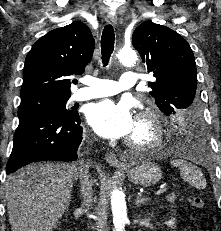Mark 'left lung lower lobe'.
Masks as SVG:
<instances>
[{
    "instance_id": "left-lung-lower-lobe-1",
    "label": "left lung lower lobe",
    "mask_w": 221,
    "mask_h": 231,
    "mask_svg": "<svg viewBox=\"0 0 221 231\" xmlns=\"http://www.w3.org/2000/svg\"><path fill=\"white\" fill-rule=\"evenodd\" d=\"M193 124H194V123H192V125H190V127L193 128V129H195V130H198L197 128H195V127L193 126ZM194 125H195V124H194ZM195 126H196V125H195ZM178 137H179V138H178V141H180L181 143H182V142H185L181 136H178ZM199 138H203V136H199Z\"/></svg>"
}]
</instances>
